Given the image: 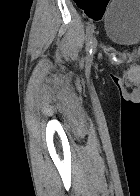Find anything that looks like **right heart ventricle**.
Returning a JSON list of instances; mask_svg holds the SVG:
<instances>
[{
    "label": "right heart ventricle",
    "instance_id": "right-heart-ventricle-1",
    "mask_svg": "<svg viewBox=\"0 0 140 196\" xmlns=\"http://www.w3.org/2000/svg\"><path fill=\"white\" fill-rule=\"evenodd\" d=\"M88 192H107V191H88Z\"/></svg>",
    "mask_w": 140,
    "mask_h": 196
}]
</instances>
